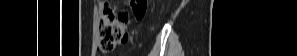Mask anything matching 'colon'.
Returning <instances> with one entry per match:
<instances>
[{
  "label": "colon",
  "mask_w": 297,
  "mask_h": 56,
  "mask_svg": "<svg viewBox=\"0 0 297 56\" xmlns=\"http://www.w3.org/2000/svg\"><path fill=\"white\" fill-rule=\"evenodd\" d=\"M131 11L137 20H141L146 11V0H133ZM129 14L126 9L106 5L98 24V50L102 53H109L119 45V36L125 32Z\"/></svg>",
  "instance_id": "5ec220e1"
}]
</instances>
